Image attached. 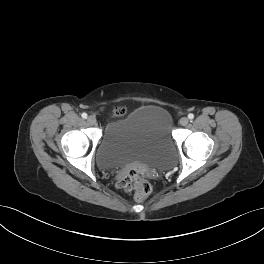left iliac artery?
Instances as JSON below:
<instances>
[{
  "label": "left iliac artery",
  "mask_w": 264,
  "mask_h": 264,
  "mask_svg": "<svg viewBox=\"0 0 264 264\" xmlns=\"http://www.w3.org/2000/svg\"><path fill=\"white\" fill-rule=\"evenodd\" d=\"M188 118H189L190 120H192V119L194 118V114H192V113L188 114Z\"/></svg>",
  "instance_id": "44dca946"
}]
</instances>
